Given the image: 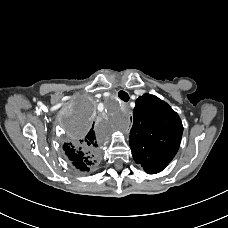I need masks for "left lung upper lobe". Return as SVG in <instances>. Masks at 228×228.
<instances>
[{"label":"left lung upper lobe","mask_w":228,"mask_h":228,"mask_svg":"<svg viewBox=\"0 0 228 228\" xmlns=\"http://www.w3.org/2000/svg\"><path fill=\"white\" fill-rule=\"evenodd\" d=\"M129 144L132 155L141 166L153 159L171 161L183 133L178 114L158 97L144 94L136 100Z\"/></svg>","instance_id":"5c2ea615"}]
</instances>
